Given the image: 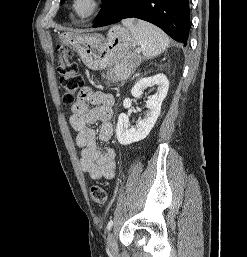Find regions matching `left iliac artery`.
<instances>
[{"mask_svg":"<svg viewBox=\"0 0 247 257\" xmlns=\"http://www.w3.org/2000/svg\"><path fill=\"white\" fill-rule=\"evenodd\" d=\"M113 226V220L111 219L107 224V231H110Z\"/></svg>","mask_w":247,"mask_h":257,"instance_id":"obj_1","label":"left iliac artery"}]
</instances>
